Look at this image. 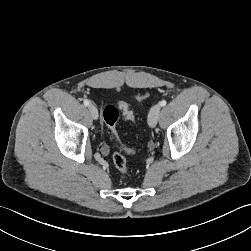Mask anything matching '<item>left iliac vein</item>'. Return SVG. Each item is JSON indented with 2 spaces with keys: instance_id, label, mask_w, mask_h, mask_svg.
Masks as SVG:
<instances>
[{
  "instance_id": "left-iliac-vein-1",
  "label": "left iliac vein",
  "mask_w": 251,
  "mask_h": 251,
  "mask_svg": "<svg viewBox=\"0 0 251 251\" xmlns=\"http://www.w3.org/2000/svg\"><path fill=\"white\" fill-rule=\"evenodd\" d=\"M161 106L159 104H156L151 107L149 114H148V124L150 127H155L160 114Z\"/></svg>"
}]
</instances>
